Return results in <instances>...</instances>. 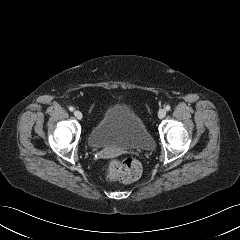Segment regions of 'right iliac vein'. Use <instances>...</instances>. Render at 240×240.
Listing matches in <instances>:
<instances>
[{
    "label": "right iliac vein",
    "mask_w": 240,
    "mask_h": 240,
    "mask_svg": "<svg viewBox=\"0 0 240 240\" xmlns=\"http://www.w3.org/2000/svg\"><path fill=\"white\" fill-rule=\"evenodd\" d=\"M74 116L79 120H81L83 117L82 113L79 110L74 111Z\"/></svg>",
    "instance_id": "right-iliac-vein-1"
}]
</instances>
